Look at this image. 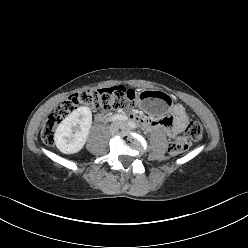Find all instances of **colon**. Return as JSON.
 Here are the masks:
<instances>
[{"mask_svg": "<svg viewBox=\"0 0 248 248\" xmlns=\"http://www.w3.org/2000/svg\"><path fill=\"white\" fill-rule=\"evenodd\" d=\"M138 92L123 86L99 90L81 91L70 95L60 103L46 118L41 129V139L46 145L54 143V133L58 125L80 105L93 109L126 110L137 107L135 96ZM203 134V127L198 121H191L185 129V135L169 144L168 152L172 156L184 153L192 141H198Z\"/></svg>", "mask_w": 248, "mask_h": 248, "instance_id": "colon-1", "label": "colon"}]
</instances>
